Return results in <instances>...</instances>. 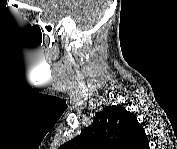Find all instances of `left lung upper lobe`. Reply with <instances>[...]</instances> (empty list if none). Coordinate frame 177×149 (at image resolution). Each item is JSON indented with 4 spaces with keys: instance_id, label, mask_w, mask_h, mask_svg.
Segmentation results:
<instances>
[{
    "instance_id": "1",
    "label": "left lung upper lobe",
    "mask_w": 177,
    "mask_h": 149,
    "mask_svg": "<svg viewBox=\"0 0 177 149\" xmlns=\"http://www.w3.org/2000/svg\"><path fill=\"white\" fill-rule=\"evenodd\" d=\"M144 136H147L144 128L133 113L121 106H109L96 114L90 126L60 148L142 149Z\"/></svg>"
}]
</instances>
